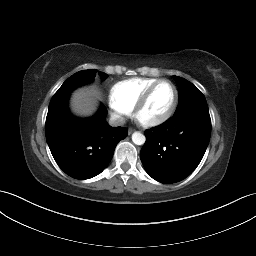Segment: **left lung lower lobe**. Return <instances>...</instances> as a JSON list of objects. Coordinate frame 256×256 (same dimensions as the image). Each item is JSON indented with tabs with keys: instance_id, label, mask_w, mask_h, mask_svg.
Segmentation results:
<instances>
[{
	"instance_id": "left-lung-lower-lobe-1",
	"label": "left lung lower lobe",
	"mask_w": 256,
	"mask_h": 256,
	"mask_svg": "<svg viewBox=\"0 0 256 256\" xmlns=\"http://www.w3.org/2000/svg\"><path fill=\"white\" fill-rule=\"evenodd\" d=\"M211 134L209 112L186 110L145 131L140 153L146 172L156 181L170 184L190 175L202 160Z\"/></svg>"
}]
</instances>
